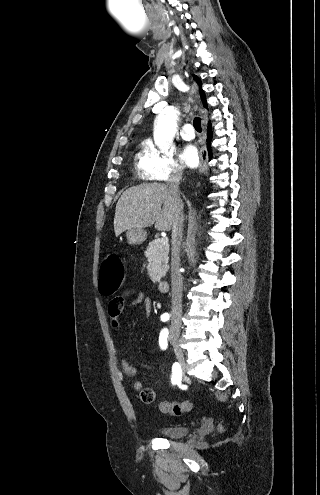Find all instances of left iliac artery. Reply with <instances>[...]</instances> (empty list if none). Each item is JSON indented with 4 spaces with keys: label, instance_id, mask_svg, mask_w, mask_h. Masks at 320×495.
Instances as JSON below:
<instances>
[{
    "label": "left iliac artery",
    "instance_id": "1",
    "mask_svg": "<svg viewBox=\"0 0 320 495\" xmlns=\"http://www.w3.org/2000/svg\"><path fill=\"white\" fill-rule=\"evenodd\" d=\"M168 330L166 328H164L161 333H160V336H159V345L161 347V349H166L167 347V338H168Z\"/></svg>",
    "mask_w": 320,
    "mask_h": 495
}]
</instances>
